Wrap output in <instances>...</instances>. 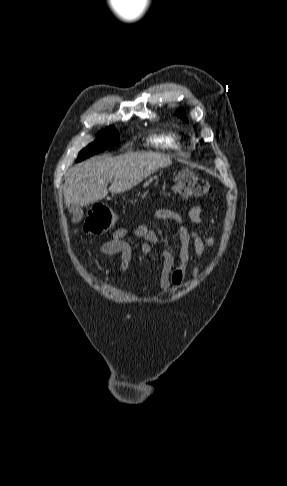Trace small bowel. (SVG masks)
Listing matches in <instances>:
<instances>
[{
    "label": "small bowel",
    "instance_id": "obj_1",
    "mask_svg": "<svg viewBox=\"0 0 287 486\" xmlns=\"http://www.w3.org/2000/svg\"><path fill=\"white\" fill-rule=\"evenodd\" d=\"M155 217L162 221L172 222L178 229L180 247L177 265L173 252L163 246L159 235L146 225H139L131 231L125 228L117 229L108 241L101 244L100 252L106 256L120 255V269L125 272L132 260V247L126 240L128 235L132 234L139 239V248L143 253H150L153 245L159 246L163 258L160 287L166 291L171 287H178L184 282L187 266L191 259V246L197 261H200L205 254L206 247L213 246L214 239L212 237L203 239L198 230L189 228L184 217L174 210L159 209L155 212ZM188 217L190 222L198 228L202 224L201 208H192ZM191 274L193 279L198 276V264L192 268Z\"/></svg>",
    "mask_w": 287,
    "mask_h": 486
}]
</instances>
